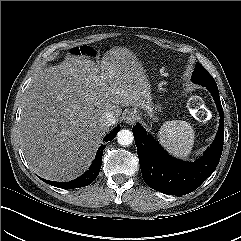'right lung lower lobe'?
<instances>
[{
	"label": "right lung lower lobe",
	"mask_w": 241,
	"mask_h": 241,
	"mask_svg": "<svg viewBox=\"0 0 241 241\" xmlns=\"http://www.w3.org/2000/svg\"><path fill=\"white\" fill-rule=\"evenodd\" d=\"M120 130V127L117 126L111 133H109L104 141L108 142L113 140L116 137V134ZM104 142V143H105ZM106 145H101L100 148L98 149V152L95 156V159L90 166L89 170L85 172L81 177L69 181V182H53V181H48L45 179L40 178L42 181L46 182L47 184H50L52 186L58 187V188H64V189H71V188H81L90 185L94 179L99 175V171L102 165V155H103V150Z\"/></svg>",
	"instance_id": "98d812e1"
}]
</instances>
